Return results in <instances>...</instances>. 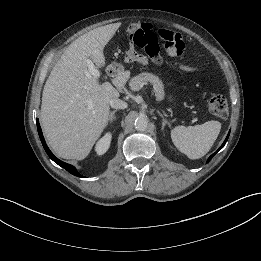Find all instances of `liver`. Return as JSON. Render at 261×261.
Returning a JSON list of instances; mask_svg holds the SVG:
<instances>
[{"mask_svg":"<svg viewBox=\"0 0 261 261\" xmlns=\"http://www.w3.org/2000/svg\"><path fill=\"white\" fill-rule=\"evenodd\" d=\"M113 30L101 27L73 41L53 67L43 89L40 119L49 145L65 159H84L105 129L109 103L118 98L128 72L100 83L87 67L105 65L103 49Z\"/></svg>","mask_w":261,"mask_h":261,"instance_id":"obj_1","label":"liver"}]
</instances>
